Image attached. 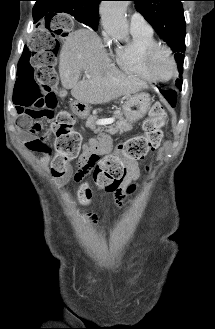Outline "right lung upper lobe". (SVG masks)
I'll return each mask as SVG.
<instances>
[{
	"label": "right lung upper lobe",
	"instance_id": "obj_1",
	"mask_svg": "<svg viewBox=\"0 0 215 329\" xmlns=\"http://www.w3.org/2000/svg\"><path fill=\"white\" fill-rule=\"evenodd\" d=\"M33 18L37 22L42 17L54 16L63 13L64 8L81 11L82 15L89 21L99 22L98 8L101 0H35Z\"/></svg>",
	"mask_w": 215,
	"mask_h": 329
}]
</instances>
